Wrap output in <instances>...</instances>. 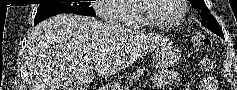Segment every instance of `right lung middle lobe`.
I'll use <instances>...</instances> for the list:
<instances>
[{"instance_id": "1", "label": "right lung middle lobe", "mask_w": 237, "mask_h": 90, "mask_svg": "<svg viewBox=\"0 0 237 90\" xmlns=\"http://www.w3.org/2000/svg\"><path fill=\"white\" fill-rule=\"evenodd\" d=\"M91 2L40 4L34 23H39L51 16L61 13H74L78 15L96 17L95 11L90 7Z\"/></svg>"}]
</instances>
